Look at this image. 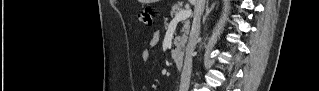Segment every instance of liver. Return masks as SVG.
<instances>
[{
  "label": "liver",
  "mask_w": 319,
  "mask_h": 91,
  "mask_svg": "<svg viewBox=\"0 0 319 91\" xmlns=\"http://www.w3.org/2000/svg\"><path fill=\"white\" fill-rule=\"evenodd\" d=\"M189 2H190L191 4H193V5L196 4V0H189Z\"/></svg>",
  "instance_id": "liver-1"
}]
</instances>
